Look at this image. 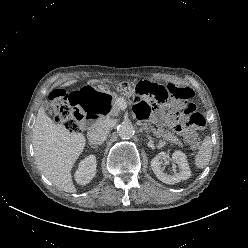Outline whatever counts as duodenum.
<instances>
[{
	"label": "duodenum",
	"mask_w": 248,
	"mask_h": 248,
	"mask_svg": "<svg viewBox=\"0 0 248 248\" xmlns=\"http://www.w3.org/2000/svg\"><path fill=\"white\" fill-rule=\"evenodd\" d=\"M97 119H98V117L95 116L93 113H90L88 111L84 112V117H83L84 125H86V124H88V123H90L92 121H95Z\"/></svg>",
	"instance_id": "obj_1"
}]
</instances>
